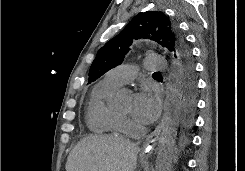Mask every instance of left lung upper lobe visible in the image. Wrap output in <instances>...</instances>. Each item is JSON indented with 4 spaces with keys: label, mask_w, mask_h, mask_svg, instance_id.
Listing matches in <instances>:
<instances>
[{
    "label": "left lung upper lobe",
    "mask_w": 245,
    "mask_h": 171,
    "mask_svg": "<svg viewBox=\"0 0 245 171\" xmlns=\"http://www.w3.org/2000/svg\"><path fill=\"white\" fill-rule=\"evenodd\" d=\"M157 41L172 52L176 61H193L177 25L163 12L147 11L135 17L117 36L99 49L89 70L88 84L120 65L133 39Z\"/></svg>",
    "instance_id": "left-lung-upper-lobe-1"
}]
</instances>
